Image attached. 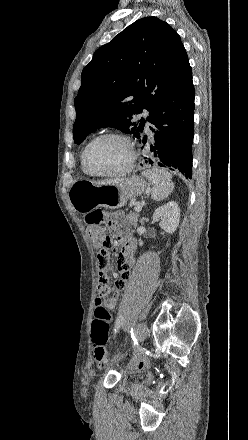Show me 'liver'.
I'll return each instance as SVG.
<instances>
[{
    "instance_id": "obj_1",
    "label": "liver",
    "mask_w": 248,
    "mask_h": 440,
    "mask_svg": "<svg viewBox=\"0 0 248 440\" xmlns=\"http://www.w3.org/2000/svg\"><path fill=\"white\" fill-rule=\"evenodd\" d=\"M120 181H122V180H120V179L109 180V181H106V182H102V183H100V184H110V183H113V182H120Z\"/></svg>"
}]
</instances>
